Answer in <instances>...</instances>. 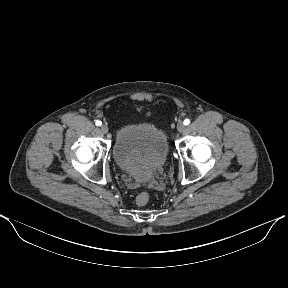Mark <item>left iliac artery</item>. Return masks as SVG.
Listing matches in <instances>:
<instances>
[{"label": "left iliac artery", "mask_w": 288, "mask_h": 288, "mask_svg": "<svg viewBox=\"0 0 288 288\" xmlns=\"http://www.w3.org/2000/svg\"><path fill=\"white\" fill-rule=\"evenodd\" d=\"M183 123H184V125H186V126H187V125H189V124H190V120H189V119H185Z\"/></svg>", "instance_id": "44dca946"}]
</instances>
